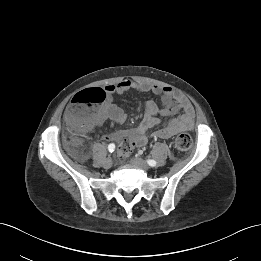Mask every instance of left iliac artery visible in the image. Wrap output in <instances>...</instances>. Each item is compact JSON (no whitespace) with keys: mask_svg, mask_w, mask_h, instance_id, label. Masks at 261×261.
<instances>
[{"mask_svg":"<svg viewBox=\"0 0 261 261\" xmlns=\"http://www.w3.org/2000/svg\"><path fill=\"white\" fill-rule=\"evenodd\" d=\"M147 163L151 166V167H154V166H156V161L155 160H152V159H148L147 160Z\"/></svg>","mask_w":261,"mask_h":261,"instance_id":"1","label":"left iliac artery"}]
</instances>
